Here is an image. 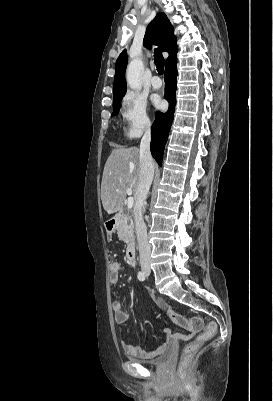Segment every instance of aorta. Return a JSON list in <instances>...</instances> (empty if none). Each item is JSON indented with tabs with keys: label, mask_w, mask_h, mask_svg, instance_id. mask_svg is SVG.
<instances>
[{
	"label": "aorta",
	"mask_w": 273,
	"mask_h": 401,
	"mask_svg": "<svg viewBox=\"0 0 273 401\" xmlns=\"http://www.w3.org/2000/svg\"><path fill=\"white\" fill-rule=\"evenodd\" d=\"M143 70V63L141 60H132L126 72L127 84L131 89H138L141 87V72Z\"/></svg>",
	"instance_id": "obj_1"
}]
</instances>
